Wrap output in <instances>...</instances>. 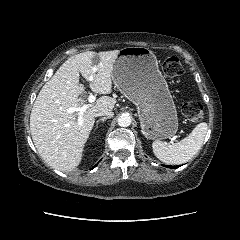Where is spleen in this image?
Returning a JSON list of instances; mask_svg holds the SVG:
<instances>
[{
  "label": "spleen",
  "instance_id": "spleen-1",
  "mask_svg": "<svg viewBox=\"0 0 240 240\" xmlns=\"http://www.w3.org/2000/svg\"><path fill=\"white\" fill-rule=\"evenodd\" d=\"M208 130L205 122L199 123L183 140L168 144L156 140L152 144L155 156L166 164H183L190 160L201 148Z\"/></svg>",
  "mask_w": 240,
  "mask_h": 240
}]
</instances>
